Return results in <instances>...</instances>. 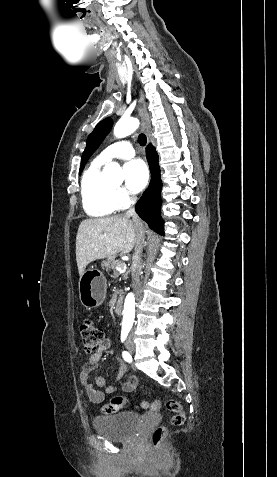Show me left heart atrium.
<instances>
[{
  "label": "left heart atrium",
  "mask_w": 277,
  "mask_h": 477,
  "mask_svg": "<svg viewBox=\"0 0 277 477\" xmlns=\"http://www.w3.org/2000/svg\"><path fill=\"white\" fill-rule=\"evenodd\" d=\"M125 184L132 193H138L144 189L149 179L146 165L141 160H133L124 165Z\"/></svg>",
  "instance_id": "left-heart-atrium-1"
}]
</instances>
